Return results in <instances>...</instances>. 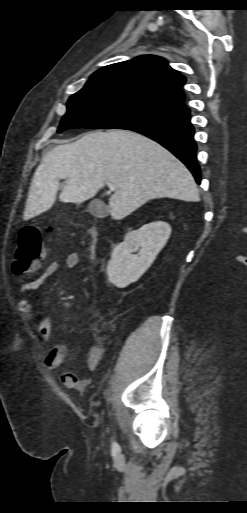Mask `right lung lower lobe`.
Instances as JSON below:
<instances>
[{
    "label": "right lung lower lobe",
    "instance_id": "98d812e1",
    "mask_svg": "<svg viewBox=\"0 0 247 513\" xmlns=\"http://www.w3.org/2000/svg\"><path fill=\"white\" fill-rule=\"evenodd\" d=\"M190 120V109L183 107L138 119L122 125L119 129L138 132L167 148L187 166L200 184V168L196 160L197 146L194 141V127Z\"/></svg>",
    "mask_w": 247,
    "mask_h": 513
}]
</instances>
